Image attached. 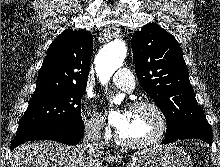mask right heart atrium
Masks as SVG:
<instances>
[{
	"instance_id": "d8ad5b80",
	"label": "right heart atrium",
	"mask_w": 220,
	"mask_h": 167,
	"mask_svg": "<svg viewBox=\"0 0 220 167\" xmlns=\"http://www.w3.org/2000/svg\"><path fill=\"white\" fill-rule=\"evenodd\" d=\"M83 124L86 133L91 136H101L108 132L102 114L88 101L83 107Z\"/></svg>"
}]
</instances>
